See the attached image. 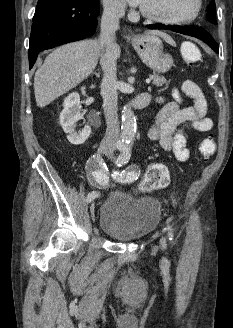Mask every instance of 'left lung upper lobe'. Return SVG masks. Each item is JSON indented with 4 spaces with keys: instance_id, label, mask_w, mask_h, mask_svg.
<instances>
[{
    "instance_id": "left-lung-upper-lobe-1",
    "label": "left lung upper lobe",
    "mask_w": 233,
    "mask_h": 328,
    "mask_svg": "<svg viewBox=\"0 0 233 328\" xmlns=\"http://www.w3.org/2000/svg\"><path fill=\"white\" fill-rule=\"evenodd\" d=\"M207 19L209 22H211L213 24H217L216 19H215V1L214 0H212L208 5Z\"/></svg>"
}]
</instances>
